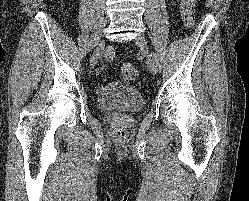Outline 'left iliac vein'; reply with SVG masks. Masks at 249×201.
<instances>
[{"mask_svg": "<svg viewBox=\"0 0 249 201\" xmlns=\"http://www.w3.org/2000/svg\"><path fill=\"white\" fill-rule=\"evenodd\" d=\"M135 42L140 47L142 53L147 57V64H148L150 72L153 75L156 74V73H158V71L156 69V65L154 63V60L149 55V47H148L147 40H146L145 36L144 35H139L135 39Z\"/></svg>", "mask_w": 249, "mask_h": 201, "instance_id": "1", "label": "left iliac vein"}]
</instances>
